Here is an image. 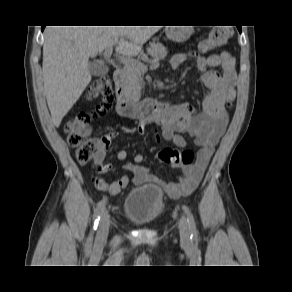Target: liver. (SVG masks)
I'll return each mask as SVG.
<instances>
[{"label": "liver", "mask_w": 292, "mask_h": 292, "mask_svg": "<svg viewBox=\"0 0 292 292\" xmlns=\"http://www.w3.org/2000/svg\"><path fill=\"white\" fill-rule=\"evenodd\" d=\"M160 26H47L44 30V93L53 123L78 101L91 82L90 57L108 47L117 53L136 56Z\"/></svg>", "instance_id": "1"}]
</instances>
